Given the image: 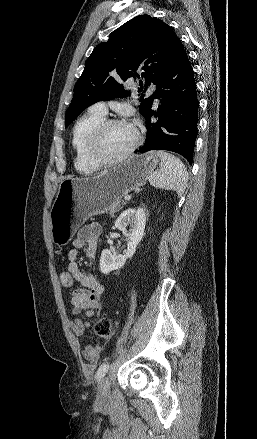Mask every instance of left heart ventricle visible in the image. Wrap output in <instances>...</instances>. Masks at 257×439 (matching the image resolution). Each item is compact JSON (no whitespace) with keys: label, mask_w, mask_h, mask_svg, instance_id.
Returning <instances> with one entry per match:
<instances>
[{"label":"left heart ventricle","mask_w":257,"mask_h":439,"mask_svg":"<svg viewBox=\"0 0 257 439\" xmlns=\"http://www.w3.org/2000/svg\"><path fill=\"white\" fill-rule=\"evenodd\" d=\"M135 137V130L130 125L111 126L102 137L100 153L104 158H113L126 150L133 143Z\"/></svg>","instance_id":"obj_1"}]
</instances>
